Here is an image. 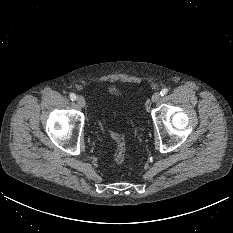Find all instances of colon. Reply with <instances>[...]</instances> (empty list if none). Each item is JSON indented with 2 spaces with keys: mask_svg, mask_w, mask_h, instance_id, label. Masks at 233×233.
I'll return each mask as SVG.
<instances>
[{
  "mask_svg": "<svg viewBox=\"0 0 233 233\" xmlns=\"http://www.w3.org/2000/svg\"><path fill=\"white\" fill-rule=\"evenodd\" d=\"M112 137L116 144L114 160L121 164L125 161L126 158V142L123 135L119 133H112Z\"/></svg>",
  "mask_w": 233,
  "mask_h": 233,
  "instance_id": "colon-1",
  "label": "colon"
}]
</instances>
